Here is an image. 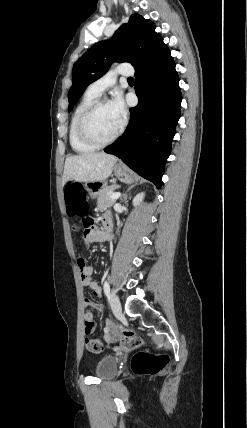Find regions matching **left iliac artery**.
<instances>
[{
	"label": "left iliac artery",
	"instance_id": "obj_1",
	"mask_svg": "<svg viewBox=\"0 0 247 428\" xmlns=\"http://www.w3.org/2000/svg\"><path fill=\"white\" fill-rule=\"evenodd\" d=\"M103 289H104V293H105V295H106V296H109V293H110V285H109V282H108L107 280H106V281H104Z\"/></svg>",
	"mask_w": 247,
	"mask_h": 428
}]
</instances>
